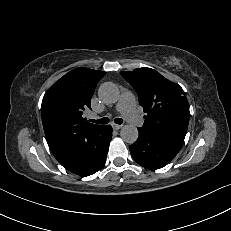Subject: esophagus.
<instances>
[{"mask_svg": "<svg viewBox=\"0 0 231 231\" xmlns=\"http://www.w3.org/2000/svg\"><path fill=\"white\" fill-rule=\"evenodd\" d=\"M112 127L114 130H119L122 128V125H119V124H112Z\"/></svg>", "mask_w": 231, "mask_h": 231, "instance_id": "obj_1", "label": "esophagus"}]
</instances>
